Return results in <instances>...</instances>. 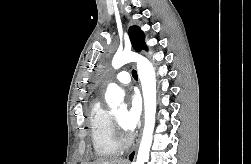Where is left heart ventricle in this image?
I'll use <instances>...</instances> for the list:
<instances>
[{"mask_svg":"<svg viewBox=\"0 0 251 164\" xmlns=\"http://www.w3.org/2000/svg\"><path fill=\"white\" fill-rule=\"evenodd\" d=\"M115 118L120 123V125H122V121H123V118H124V112L120 111V112L116 113Z\"/></svg>","mask_w":251,"mask_h":164,"instance_id":"1","label":"left heart ventricle"}]
</instances>
